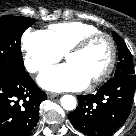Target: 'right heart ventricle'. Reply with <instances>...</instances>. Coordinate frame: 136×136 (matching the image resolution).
Wrapping results in <instances>:
<instances>
[{"label": "right heart ventricle", "instance_id": "e07e8e85", "mask_svg": "<svg viewBox=\"0 0 136 136\" xmlns=\"http://www.w3.org/2000/svg\"><path fill=\"white\" fill-rule=\"evenodd\" d=\"M60 54H65L83 37L99 32V29L89 23L68 21L52 24L44 31Z\"/></svg>", "mask_w": 136, "mask_h": 136}]
</instances>
